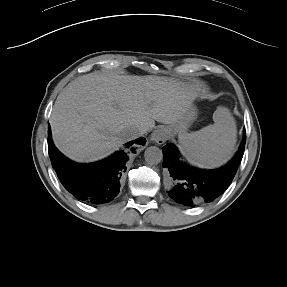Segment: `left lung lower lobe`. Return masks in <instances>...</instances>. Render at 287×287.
<instances>
[{
    "mask_svg": "<svg viewBox=\"0 0 287 287\" xmlns=\"http://www.w3.org/2000/svg\"><path fill=\"white\" fill-rule=\"evenodd\" d=\"M246 135L236 156L224 167L217 170H199L182 164L178 150L173 144L162 148L163 167L168 169V195L176 202L195 206L208 203L222 194L232 182L243 157Z\"/></svg>",
    "mask_w": 287,
    "mask_h": 287,
    "instance_id": "left-lung-lower-lobe-1",
    "label": "left lung lower lobe"
}]
</instances>
